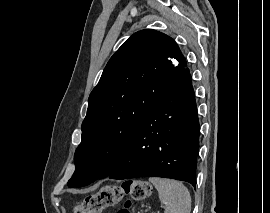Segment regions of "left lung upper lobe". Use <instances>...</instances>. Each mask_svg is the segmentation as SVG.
<instances>
[{"label": "left lung upper lobe", "instance_id": "5c2ea615", "mask_svg": "<svg viewBox=\"0 0 270 213\" xmlns=\"http://www.w3.org/2000/svg\"><path fill=\"white\" fill-rule=\"evenodd\" d=\"M176 42L152 29L136 32L110 58L88 99L69 187L101 179L138 124L186 70Z\"/></svg>", "mask_w": 270, "mask_h": 213}]
</instances>
